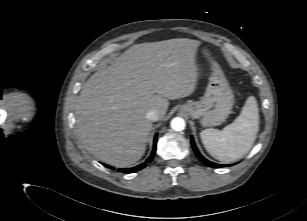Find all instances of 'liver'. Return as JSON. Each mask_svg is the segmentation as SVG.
Wrapping results in <instances>:
<instances>
[{
    "label": "liver",
    "instance_id": "1",
    "mask_svg": "<svg viewBox=\"0 0 307 221\" xmlns=\"http://www.w3.org/2000/svg\"><path fill=\"white\" fill-rule=\"evenodd\" d=\"M197 40L187 38L133 45L83 85L76 103V130L97 159L129 167L145 152L153 124L164 119L169 100L193 93Z\"/></svg>",
    "mask_w": 307,
    "mask_h": 221
}]
</instances>
